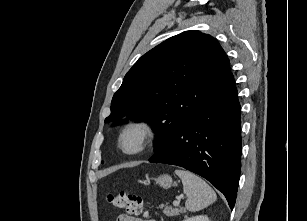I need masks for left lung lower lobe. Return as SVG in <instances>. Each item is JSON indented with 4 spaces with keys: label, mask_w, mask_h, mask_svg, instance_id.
<instances>
[{
    "label": "left lung lower lobe",
    "mask_w": 307,
    "mask_h": 221,
    "mask_svg": "<svg viewBox=\"0 0 307 221\" xmlns=\"http://www.w3.org/2000/svg\"><path fill=\"white\" fill-rule=\"evenodd\" d=\"M240 110L233 78L150 162L177 165L204 177L225 195L232 209L241 169Z\"/></svg>",
    "instance_id": "obj_1"
}]
</instances>
